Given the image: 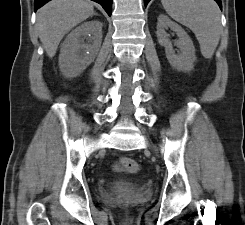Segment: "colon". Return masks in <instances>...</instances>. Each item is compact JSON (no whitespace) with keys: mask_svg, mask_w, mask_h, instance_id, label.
<instances>
[{"mask_svg":"<svg viewBox=\"0 0 245 225\" xmlns=\"http://www.w3.org/2000/svg\"><path fill=\"white\" fill-rule=\"evenodd\" d=\"M113 169L118 173H136L140 169V164L134 159L122 157L115 163Z\"/></svg>","mask_w":245,"mask_h":225,"instance_id":"colon-1","label":"colon"}]
</instances>
